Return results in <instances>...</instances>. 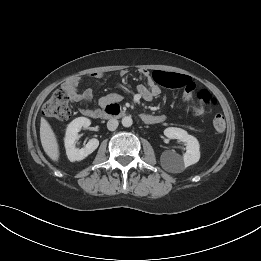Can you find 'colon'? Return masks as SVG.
I'll use <instances>...</instances> for the list:
<instances>
[{"instance_id": "1", "label": "colon", "mask_w": 261, "mask_h": 261, "mask_svg": "<svg viewBox=\"0 0 261 261\" xmlns=\"http://www.w3.org/2000/svg\"><path fill=\"white\" fill-rule=\"evenodd\" d=\"M69 98V94L64 89L56 90L43 106L44 115L58 120H67L71 114L68 104ZM198 99L202 104L216 105L214 96L205 90L199 92ZM213 127L218 132L225 130L226 123L220 113L214 116Z\"/></svg>"}]
</instances>
